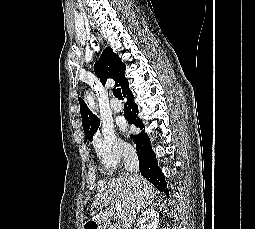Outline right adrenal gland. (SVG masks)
<instances>
[{
    "mask_svg": "<svg viewBox=\"0 0 255 229\" xmlns=\"http://www.w3.org/2000/svg\"><path fill=\"white\" fill-rule=\"evenodd\" d=\"M156 205V203H153L151 206H155ZM142 212V211H141Z\"/></svg>",
    "mask_w": 255,
    "mask_h": 229,
    "instance_id": "obj_1",
    "label": "right adrenal gland"
}]
</instances>
